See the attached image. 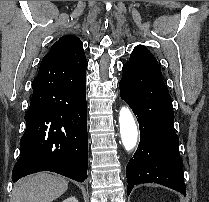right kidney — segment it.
<instances>
[{
    "label": "right kidney",
    "instance_id": "right-kidney-1",
    "mask_svg": "<svg viewBox=\"0 0 209 202\" xmlns=\"http://www.w3.org/2000/svg\"><path fill=\"white\" fill-rule=\"evenodd\" d=\"M63 202H78V200L76 197L72 196V197L65 199Z\"/></svg>",
    "mask_w": 209,
    "mask_h": 202
}]
</instances>
